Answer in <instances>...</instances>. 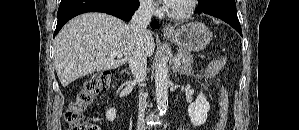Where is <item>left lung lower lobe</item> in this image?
Here are the masks:
<instances>
[{"mask_svg":"<svg viewBox=\"0 0 299 130\" xmlns=\"http://www.w3.org/2000/svg\"><path fill=\"white\" fill-rule=\"evenodd\" d=\"M195 13L209 14L231 25L241 36L242 30L236 14L235 0H201Z\"/></svg>","mask_w":299,"mask_h":130,"instance_id":"0a47b994","label":"left lung lower lobe"}]
</instances>
